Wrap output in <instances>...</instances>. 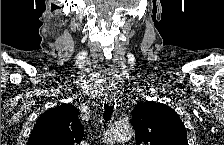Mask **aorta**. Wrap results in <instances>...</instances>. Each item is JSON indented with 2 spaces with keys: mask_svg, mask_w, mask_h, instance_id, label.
Returning <instances> with one entry per match:
<instances>
[{
  "mask_svg": "<svg viewBox=\"0 0 224 145\" xmlns=\"http://www.w3.org/2000/svg\"><path fill=\"white\" fill-rule=\"evenodd\" d=\"M133 130L129 124L115 123L105 133V141L108 143H118L130 140Z\"/></svg>",
  "mask_w": 224,
  "mask_h": 145,
  "instance_id": "obj_1",
  "label": "aorta"
}]
</instances>
